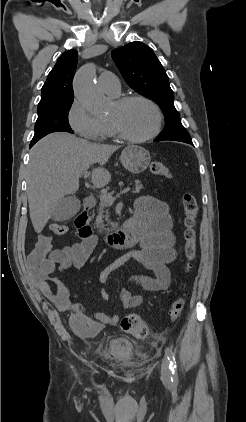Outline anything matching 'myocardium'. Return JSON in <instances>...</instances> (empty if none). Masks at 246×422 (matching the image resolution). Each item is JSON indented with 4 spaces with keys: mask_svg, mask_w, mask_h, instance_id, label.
<instances>
[{
    "mask_svg": "<svg viewBox=\"0 0 246 422\" xmlns=\"http://www.w3.org/2000/svg\"><path fill=\"white\" fill-rule=\"evenodd\" d=\"M133 101H142L147 103L149 106H151L153 108V110L155 111L156 114V125L154 127V129L147 135L142 136V137H135L132 136L130 134H128L125 130H123L120 125L112 120H109V124L111 125V127L113 128V130L115 131V133L123 140L131 142V143H144L147 142L153 138H155L161 131L162 129V125H163V113L160 109V107L157 105L156 102H154L152 99L143 96V95H127V96H123L118 98L115 101V104L118 107H123Z\"/></svg>",
    "mask_w": 246,
    "mask_h": 422,
    "instance_id": "1",
    "label": "myocardium"
}]
</instances>
